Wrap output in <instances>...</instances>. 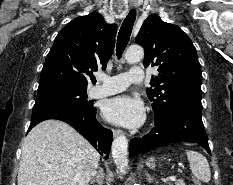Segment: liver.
I'll return each mask as SVG.
<instances>
[{"label": "liver", "instance_id": "obj_1", "mask_svg": "<svg viewBox=\"0 0 233 185\" xmlns=\"http://www.w3.org/2000/svg\"><path fill=\"white\" fill-rule=\"evenodd\" d=\"M100 154L70 125L46 120L25 137L17 185H88Z\"/></svg>", "mask_w": 233, "mask_h": 185}]
</instances>
